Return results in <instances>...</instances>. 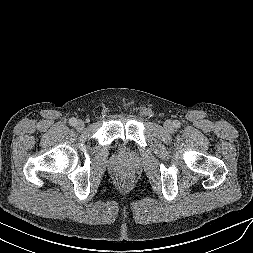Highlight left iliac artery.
I'll return each mask as SVG.
<instances>
[{
  "label": "left iliac artery",
  "mask_w": 253,
  "mask_h": 253,
  "mask_svg": "<svg viewBox=\"0 0 253 253\" xmlns=\"http://www.w3.org/2000/svg\"><path fill=\"white\" fill-rule=\"evenodd\" d=\"M174 126H175L176 128L180 127V122L175 121V122H174Z\"/></svg>",
  "instance_id": "1"
}]
</instances>
